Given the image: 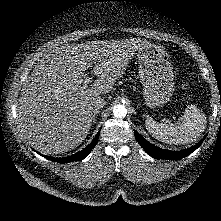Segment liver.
<instances>
[{
    "mask_svg": "<svg viewBox=\"0 0 221 221\" xmlns=\"http://www.w3.org/2000/svg\"><path fill=\"white\" fill-rule=\"evenodd\" d=\"M141 39L93 41L57 48L34 68L19 100V126L25 138L44 154L79 146L92 125V102L107 95L122 78L141 47ZM94 65L95 83H85Z\"/></svg>",
    "mask_w": 221,
    "mask_h": 221,
    "instance_id": "6515ba94",
    "label": "liver"
}]
</instances>
